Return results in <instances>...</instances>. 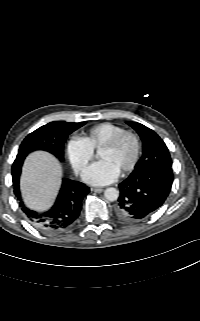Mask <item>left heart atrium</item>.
Instances as JSON below:
<instances>
[{"instance_id":"left-heart-atrium-1","label":"left heart atrium","mask_w":200,"mask_h":321,"mask_svg":"<svg viewBox=\"0 0 200 321\" xmlns=\"http://www.w3.org/2000/svg\"><path fill=\"white\" fill-rule=\"evenodd\" d=\"M120 171L109 161L99 160L91 164L83 173V180L91 185L101 186L114 182Z\"/></svg>"}]
</instances>
